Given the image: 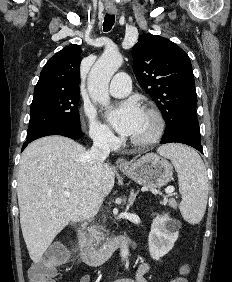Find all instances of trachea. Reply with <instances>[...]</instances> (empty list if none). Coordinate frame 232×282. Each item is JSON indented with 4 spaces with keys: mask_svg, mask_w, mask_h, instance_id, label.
I'll return each instance as SVG.
<instances>
[{
    "mask_svg": "<svg viewBox=\"0 0 232 282\" xmlns=\"http://www.w3.org/2000/svg\"><path fill=\"white\" fill-rule=\"evenodd\" d=\"M114 22H115V16L106 14L103 23V30L105 32L110 31L112 26L114 25Z\"/></svg>",
    "mask_w": 232,
    "mask_h": 282,
    "instance_id": "obj_1",
    "label": "trachea"
}]
</instances>
